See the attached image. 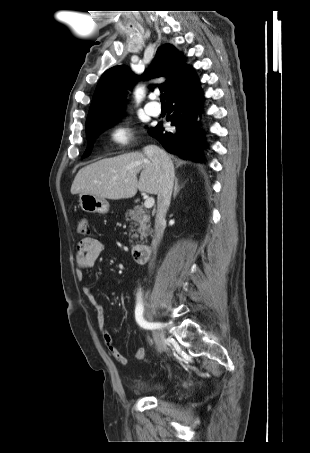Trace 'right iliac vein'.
Wrapping results in <instances>:
<instances>
[{
	"label": "right iliac vein",
	"instance_id": "obj_1",
	"mask_svg": "<svg viewBox=\"0 0 310 453\" xmlns=\"http://www.w3.org/2000/svg\"><path fill=\"white\" fill-rule=\"evenodd\" d=\"M146 312L147 317L154 321L156 319V312L153 306L152 298L148 294L147 295V302H146ZM153 338L156 343V346L160 352H162L166 348L165 337L164 334L160 329L153 331Z\"/></svg>",
	"mask_w": 310,
	"mask_h": 453
}]
</instances>
